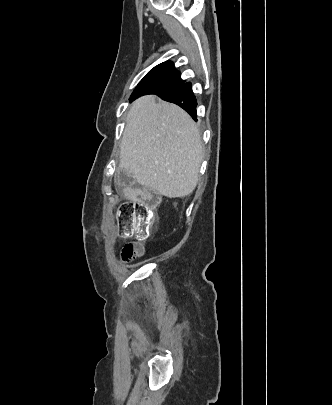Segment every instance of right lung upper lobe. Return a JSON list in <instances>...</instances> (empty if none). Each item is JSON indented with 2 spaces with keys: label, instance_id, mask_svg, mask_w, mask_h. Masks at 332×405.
Here are the masks:
<instances>
[{
  "label": "right lung upper lobe",
  "instance_id": "obj_1",
  "mask_svg": "<svg viewBox=\"0 0 332 405\" xmlns=\"http://www.w3.org/2000/svg\"><path fill=\"white\" fill-rule=\"evenodd\" d=\"M150 72L180 77V72L174 69V65L171 61H166L157 65Z\"/></svg>",
  "mask_w": 332,
  "mask_h": 405
}]
</instances>
